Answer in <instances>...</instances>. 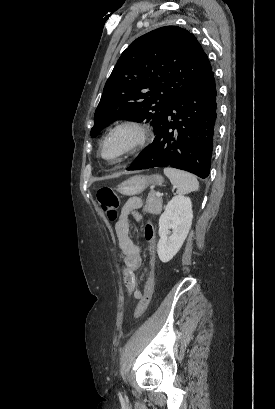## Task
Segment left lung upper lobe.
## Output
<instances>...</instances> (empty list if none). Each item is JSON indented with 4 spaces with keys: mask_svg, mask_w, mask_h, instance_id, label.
I'll return each instance as SVG.
<instances>
[{
    "mask_svg": "<svg viewBox=\"0 0 275 409\" xmlns=\"http://www.w3.org/2000/svg\"><path fill=\"white\" fill-rule=\"evenodd\" d=\"M212 70L195 36L177 26L133 41L108 78L90 135L118 119L151 122L154 132L181 93Z\"/></svg>",
    "mask_w": 275,
    "mask_h": 409,
    "instance_id": "1",
    "label": "left lung upper lobe"
}]
</instances>
